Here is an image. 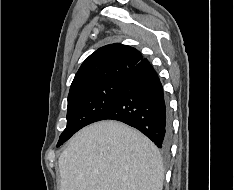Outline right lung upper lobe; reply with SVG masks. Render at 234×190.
I'll list each match as a JSON object with an SVG mask.
<instances>
[{
    "mask_svg": "<svg viewBox=\"0 0 234 190\" xmlns=\"http://www.w3.org/2000/svg\"><path fill=\"white\" fill-rule=\"evenodd\" d=\"M142 59L138 50L127 45L110 44L101 47L82 63L71 84L69 95L124 79Z\"/></svg>",
    "mask_w": 234,
    "mask_h": 190,
    "instance_id": "cb5924a9",
    "label": "right lung upper lobe"
}]
</instances>
